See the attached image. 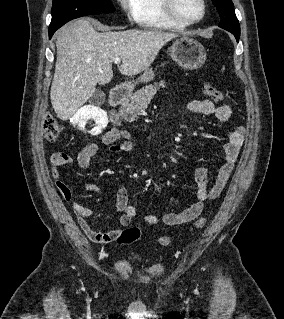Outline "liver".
Segmentation results:
<instances>
[{
    "instance_id": "1",
    "label": "liver",
    "mask_w": 284,
    "mask_h": 319,
    "mask_svg": "<svg viewBox=\"0 0 284 319\" xmlns=\"http://www.w3.org/2000/svg\"><path fill=\"white\" fill-rule=\"evenodd\" d=\"M178 34L161 30L97 32L89 19L67 23L55 35L57 58L51 85V104L67 120L89 100L96 85L113 78V59L119 57L121 74L135 76L155 60L160 49Z\"/></svg>"
}]
</instances>
